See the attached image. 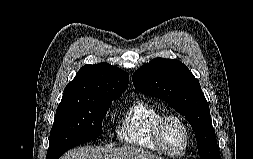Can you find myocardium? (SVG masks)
<instances>
[{"label": "myocardium", "instance_id": "myocardium-1", "mask_svg": "<svg viewBox=\"0 0 253 159\" xmlns=\"http://www.w3.org/2000/svg\"><path fill=\"white\" fill-rule=\"evenodd\" d=\"M175 120L177 121L184 132V145L180 152H171L169 151L163 142V128L167 121ZM153 139L158 148L165 154L171 157H181L185 154L189 147L190 143V132L186 121L178 114L175 113H166L162 114L161 117L156 121L153 127Z\"/></svg>", "mask_w": 253, "mask_h": 159}]
</instances>
